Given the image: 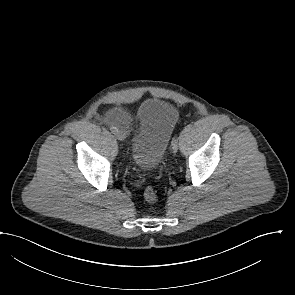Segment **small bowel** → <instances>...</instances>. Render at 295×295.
Listing matches in <instances>:
<instances>
[{"label": "small bowel", "instance_id": "obj_1", "mask_svg": "<svg viewBox=\"0 0 295 295\" xmlns=\"http://www.w3.org/2000/svg\"><path fill=\"white\" fill-rule=\"evenodd\" d=\"M105 120L111 125L120 126L124 129H129L133 122L132 117L127 112L119 109L110 111Z\"/></svg>", "mask_w": 295, "mask_h": 295}]
</instances>
